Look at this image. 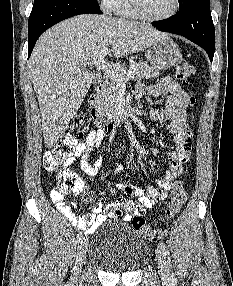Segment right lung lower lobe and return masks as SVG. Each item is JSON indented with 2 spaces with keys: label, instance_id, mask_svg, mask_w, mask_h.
I'll return each instance as SVG.
<instances>
[{
  "label": "right lung lower lobe",
  "instance_id": "1",
  "mask_svg": "<svg viewBox=\"0 0 233 286\" xmlns=\"http://www.w3.org/2000/svg\"><path fill=\"white\" fill-rule=\"evenodd\" d=\"M86 13L102 14L99 6L85 0H45L33 6L28 23V56L45 30L64 19Z\"/></svg>",
  "mask_w": 233,
  "mask_h": 286
}]
</instances>
